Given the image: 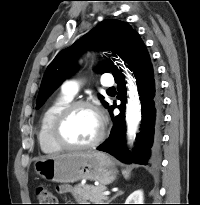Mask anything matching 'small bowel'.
Here are the masks:
<instances>
[{
  "label": "small bowel",
  "mask_w": 200,
  "mask_h": 205,
  "mask_svg": "<svg viewBox=\"0 0 200 205\" xmlns=\"http://www.w3.org/2000/svg\"><path fill=\"white\" fill-rule=\"evenodd\" d=\"M58 192L61 194L70 193L71 187L68 185H60V186H58Z\"/></svg>",
  "instance_id": "1"
}]
</instances>
